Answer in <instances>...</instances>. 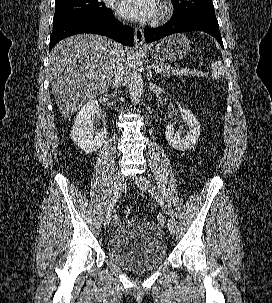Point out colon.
Masks as SVG:
<instances>
[{"label":"colon","instance_id":"5ec220e1","mask_svg":"<svg viewBox=\"0 0 272 303\" xmlns=\"http://www.w3.org/2000/svg\"><path fill=\"white\" fill-rule=\"evenodd\" d=\"M172 73L176 77H191V78L206 77L208 75L206 71L187 67V66H182V65H175L172 68ZM123 213L124 216L128 217L131 212L129 209H124Z\"/></svg>","mask_w":272,"mask_h":303}]
</instances>
